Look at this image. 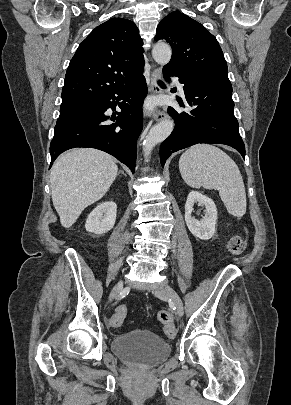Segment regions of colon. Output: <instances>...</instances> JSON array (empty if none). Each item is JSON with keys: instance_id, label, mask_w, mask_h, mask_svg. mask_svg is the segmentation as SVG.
<instances>
[{"instance_id": "1", "label": "colon", "mask_w": 291, "mask_h": 405, "mask_svg": "<svg viewBox=\"0 0 291 405\" xmlns=\"http://www.w3.org/2000/svg\"><path fill=\"white\" fill-rule=\"evenodd\" d=\"M246 246H247L246 237L235 236L231 238V240L229 241L228 250L230 255L235 257L242 254L246 249ZM127 312H128L127 305L125 304L119 305L108 320L109 326L112 328L120 327L127 316ZM157 316L159 321L163 325L164 334L170 339L175 338V336L177 335V330L173 324V320L170 313L166 310H160Z\"/></svg>"}]
</instances>
